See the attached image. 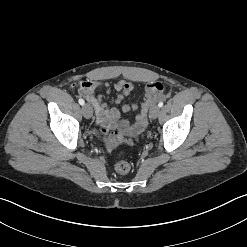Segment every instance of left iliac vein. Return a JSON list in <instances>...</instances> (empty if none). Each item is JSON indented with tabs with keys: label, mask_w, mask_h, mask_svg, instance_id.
I'll use <instances>...</instances> for the list:
<instances>
[{
	"label": "left iliac vein",
	"mask_w": 247,
	"mask_h": 247,
	"mask_svg": "<svg viewBox=\"0 0 247 247\" xmlns=\"http://www.w3.org/2000/svg\"><path fill=\"white\" fill-rule=\"evenodd\" d=\"M159 112H160V107L157 105H154L151 107L149 115L151 118L155 119L158 117Z\"/></svg>",
	"instance_id": "4c4485c4"
}]
</instances>
